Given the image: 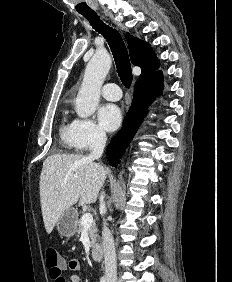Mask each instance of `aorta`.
Instances as JSON below:
<instances>
[{
  "label": "aorta",
  "instance_id": "1",
  "mask_svg": "<svg viewBox=\"0 0 232 282\" xmlns=\"http://www.w3.org/2000/svg\"><path fill=\"white\" fill-rule=\"evenodd\" d=\"M111 64V57L105 50L97 51L88 62L75 101V110L79 117L87 118L95 112L100 99L101 87Z\"/></svg>",
  "mask_w": 232,
  "mask_h": 282
}]
</instances>
